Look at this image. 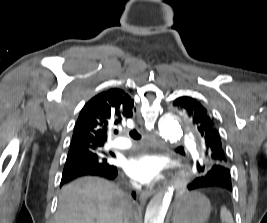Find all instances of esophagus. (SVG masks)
Instances as JSON below:
<instances>
[{
    "label": "esophagus",
    "instance_id": "esophagus-1",
    "mask_svg": "<svg viewBox=\"0 0 267 223\" xmlns=\"http://www.w3.org/2000/svg\"><path fill=\"white\" fill-rule=\"evenodd\" d=\"M150 145L155 149H164L165 142L155 133H152L148 136ZM154 190L143 191L140 195V201L145 203L146 200L153 195Z\"/></svg>",
    "mask_w": 267,
    "mask_h": 223
}]
</instances>
